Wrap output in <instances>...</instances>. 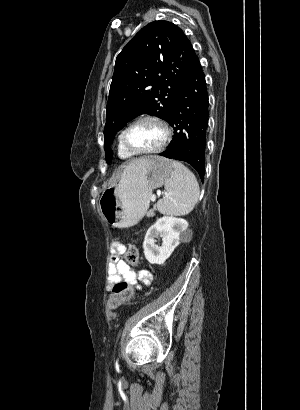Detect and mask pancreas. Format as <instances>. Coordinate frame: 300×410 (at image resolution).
Returning a JSON list of instances; mask_svg holds the SVG:
<instances>
[{
    "label": "pancreas",
    "mask_w": 300,
    "mask_h": 410,
    "mask_svg": "<svg viewBox=\"0 0 300 410\" xmlns=\"http://www.w3.org/2000/svg\"><path fill=\"white\" fill-rule=\"evenodd\" d=\"M158 208V203L154 206V208L152 209V210H150L148 213H147V217H154L155 216V210Z\"/></svg>",
    "instance_id": "1"
}]
</instances>
